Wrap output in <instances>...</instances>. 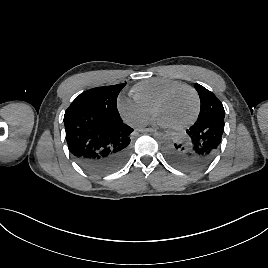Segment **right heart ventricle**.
Listing matches in <instances>:
<instances>
[{"label":"right heart ventricle","instance_id":"obj_1","mask_svg":"<svg viewBox=\"0 0 268 268\" xmlns=\"http://www.w3.org/2000/svg\"><path fill=\"white\" fill-rule=\"evenodd\" d=\"M181 82L169 78L155 77L135 84L131 89L132 98L153 110L157 100L171 87Z\"/></svg>","mask_w":268,"mask_h":268}]
</instances>
